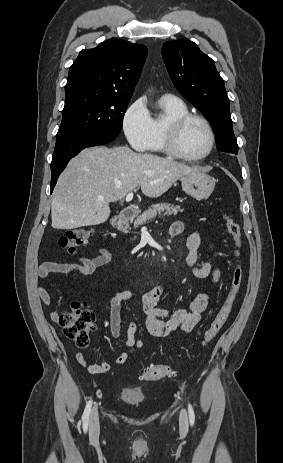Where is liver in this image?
Here are the masks:
<instances>
[{
	"label": "liver",
	"mask_w": 283,
	"mask_h": 463,
	"mask_svg": "<svg viewBox=\"0 0 283 463\" xmlns=\"http://www.w3.org/2000/svg\"><path fill=\"white\" fill-rule=\"evenodd\" d=\"M200 171L173 159L136 153L127 146L86 148L68 163L57 181L52 227L70 230L104 223L110 216L109 203L121 200L137 186L144 195L157 198L181 177Z\"/></svg>",
	"instance_id": "6515ba94"
}]
</instances>
